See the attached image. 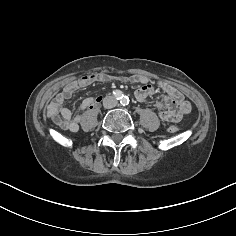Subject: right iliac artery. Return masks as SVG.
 <instances>
[{"mask_svg":"<svg viewBox=\"0 0 236 236\" xmlns=\"http://www.w3.org/2000/svg\"><path fill=\"white\" fill-rule=\"evenodd\" d=\"M113 94H114V97L117 99V100H121L123 98V94L120 90H115L113 91Z\"/></svg>","mask_w":236,"mask_h":236,"instance_id":"1","label":"right iliac artery"}]
</instances>
